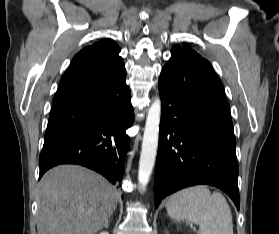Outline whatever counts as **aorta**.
<instances>
[{
  "label": "aorta",
  "instance_id": "obj_1",
  "mask_svg": "<svg viewBox=\"0 0 279 234\" xmlns=\"http://www.w3.org/2000/svg\"><path fill=\"white\" fill-rule=\"evenodd\" d=\"M161 107V99L157 96L147 113L138 168V181L142 188L148 184L156 161Z\"/></svg>",
  "mask_w": 279,
  "mask_h": 234
}]
</instances>
